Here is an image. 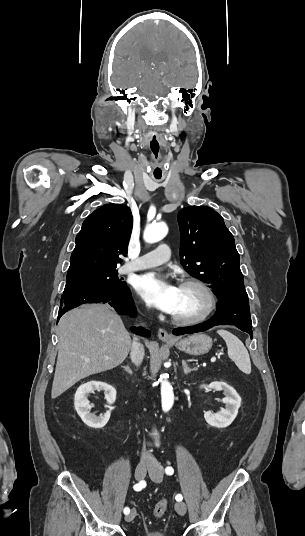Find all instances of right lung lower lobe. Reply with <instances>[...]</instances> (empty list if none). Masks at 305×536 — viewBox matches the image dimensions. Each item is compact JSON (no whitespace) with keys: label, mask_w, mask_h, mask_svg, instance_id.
<instances>
[{"label":"right lung lower lobe","mask_w":305,"mask_h":536,"mask_svg":"<svg viewBox=\"0 0 305 536\" xmlns=\"http://www.w3.org/2000/svg\"><path fill=\"white\" fill-rule=\"evenodd\" d=\"M85 303H109L121 315L128 314L133 316L136 312L129 288L112 294L79 290L63 293L60 301L58 320L65 312ZM131 330L139 335L150 336V331L141 327H132Z\"/></svg>","instance_id":"1"}]
</instances>
